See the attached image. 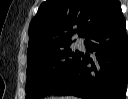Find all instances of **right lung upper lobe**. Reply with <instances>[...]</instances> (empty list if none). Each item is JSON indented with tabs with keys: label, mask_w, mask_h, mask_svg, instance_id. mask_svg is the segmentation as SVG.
Here are the masks:
<instances>
[{
	"label": "right lung upper lobe",
	"mask_w": 128,
	"mask_h": 99,
	"mask_svg": "<svg viewBox=\"0 0 128 99\" xmlns=\"http://www.w3.org/2000/svg\"><path fill=\"white\" fill-rule=\"evenodd\" d=\"M118 6V0L45 1L29 27L28 58L71 44L76 33L86 37Z\"/></svg>",
	"instance_id": "obj_1"
}]
</instances>
